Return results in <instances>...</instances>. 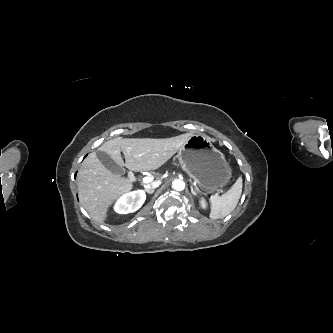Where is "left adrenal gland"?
<instances>
[{"label": "left adrenal gland", "mask_w": 333, "mask_h": 333, "mask_svg": "<svg viewBox=\"0 0 333 333\" xmlns=\"http://www.w3.org/2000/svg\"><path fill=\"white\" fill-rule=\"evenodd\" d=\"M190 188H191V193H192L193 195H197V193H196L195 190L193 189V186H192V185L190 186Z\"/></svg>", "instance_id": "left-adrenal-gland-1"}]
</instances>
